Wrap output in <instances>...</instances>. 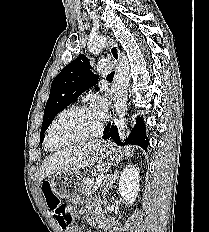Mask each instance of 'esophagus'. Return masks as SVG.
Returning <instances> with one entry per match:
<instances>
[{"mask_svg": "<svg viewBox=\"0 0 209 232\" xmlns=\"http://www.w3.org/2000/svg\"><path fill=\"white\" fill-rule=\"evenodd\" d=\"M110 54L112 58L114 59L115 63L118 65L120 55H119V50L115 44L110 45L109 47Z\"/></svg>", "mask_w": 209, "mask_h": 232, "instance_id": "esophagus-1", "label": "esophagus"}]
</instances>
